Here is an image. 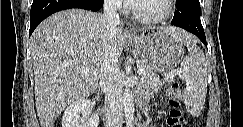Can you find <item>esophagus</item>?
I'll use <instances>...</instances> for the list:
<instances>
[{
	"mask_svg": "<svg viewBox=\"0 0 243 127\" xmlns=\"http://www.w3.org/2000/svg\"><path fill=\"white\" fill-rule=\"evenodd\" d=\"M126 33H127V34H133V29H131V28L126 29Z\"/></svg>",
	"mask_w": 243,
	"mask_h": 127,
	"instance_id": "obj_1",
	"label": "esophagus"
}]
</instances>
